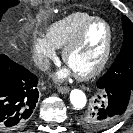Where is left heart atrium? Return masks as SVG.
Here are the masks:
<instances>
[{
  "label": "left heart atrium",
  "mask_w": 133,
  "mask_h": 133,
  "mask_svg": "<svg viewBox=\"0 0 133 133\" xmlns=\"http://www.w3.org/2000/svg\"><path fill=\"white\" fill-rule=\"evenodd\" d=\"M71 74H72V70L69 67L68 68H63V69L59 70L55 74V79H57V80H64L68 76H70Z\"/></svg>",
  "instance_id": "1"
}]
</instances>
